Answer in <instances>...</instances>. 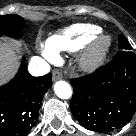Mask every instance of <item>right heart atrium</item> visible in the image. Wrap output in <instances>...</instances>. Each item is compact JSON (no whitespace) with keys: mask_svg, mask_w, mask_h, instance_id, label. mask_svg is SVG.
Returning <instances> with one entry per match:
<instances>
[{"mask_svg":"<svg viewBox=\"0 0 136 136\" xmlns=\"http://www.w3.org/2000/svg\"><path fill=\"white\" fill-rule=\"evenodd\" d=\"M45 56L49 60H54L56 58V55L54 53L50 52L48 49L45 50Z\"/></svg>","mask_w":136,"mask_h":136,"instance_id":"right-heart-atrium-1","label":"right heart atrium"}]
</instances>
